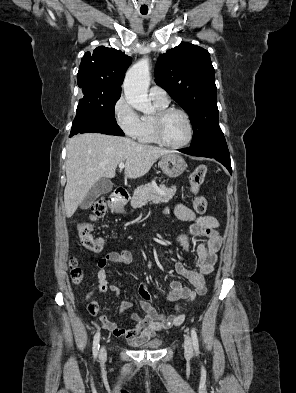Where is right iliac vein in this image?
Segmentation results:
<instances>
[{"label": "right iliac vein", "instance_id": "obj_1", "mask_svg": "<svg viewBox=\"0 0 296 393\" xmlns=\"http://www.w3.org/2000/svg\"><path fill=\"white\" fill-rule=\"evenodd\" d=\"M100 359H104L106 357V349L105 346H102L101 350H100Z\"/></svg>", "mask_w": 296, "mask_h": 393}]
</instances>
